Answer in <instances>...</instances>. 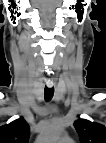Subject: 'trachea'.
<instances>
[{"mask_svg": "<svg viewBox=\"0 0 106 143\" xmlns=\"http://www.w3.org/2000/svg\"><path fill=\"white\" fill-rule=\"evenodd\" d=\"M53 94H54V87L52 88L45 87L44 96L46 101H50L53 97Z\"/></svg>", "mask_w": 106, "mask_h": 143, "instance_id": "1", "label": "trachea"}]
</instances>
